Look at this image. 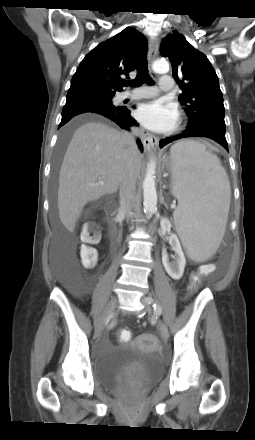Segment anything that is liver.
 <instances>
[{"instance_id":"1","label":"liver","mask_w":255,"mask_h":440,"mask_svg":"<svg viewBox=\"0 0 255 440\" xmlns=\"http://www.w3.org/2000/svg\"><path fill=\"white\" fill-rule=\"evenodd\" d=\"M128 158L126 133L101 122H87L76 129L59 174V218L67 230H74L88 202L118 190ZM141 158L138 151L134 156L136 178Z\"/></svg>"}]
</instances>
